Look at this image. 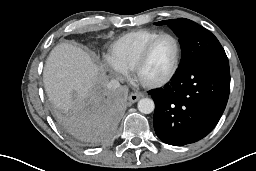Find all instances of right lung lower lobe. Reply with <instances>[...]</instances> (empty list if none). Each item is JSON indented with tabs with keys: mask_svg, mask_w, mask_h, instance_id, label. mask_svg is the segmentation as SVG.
Returning <instances> with one entry per match:
<instances>
[{
	"mask_svg": "<svg viewBox=\"0 0 256 171\" xmlns=\"http://www.w3.org/2000/svg\"><path fill=\"white\" fill-rule=\"evenodd\" d=\"M125 104L124 90L104 91L75 109L62 120V125L72 136L88 144L105 143L114 135Z\"/></svg>",
	"mask_w": 256,
	"mask_h": 171,
	"instance_id": "1",
	"label": "right lung lower lobe"
}]
</instances>
